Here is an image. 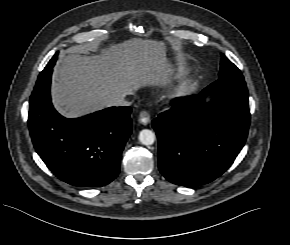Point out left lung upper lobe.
I'll return each mask as SVG.
<instances>
[{"label":"left lung upper lobe","instance_id":"5c2ea615","mask_svg":"<svg viewBox=\"0 0 290 245\" xmlns=\"http://www.w3.org/2000/svg\"><path fill=\"white\" fill-rule=\"evenodd\" d=\"M243 79V75L240 70L228 60L225 55H222L219 79Z\"/></svg>","mask_w":290,"mask_h":245}]
</instances>
